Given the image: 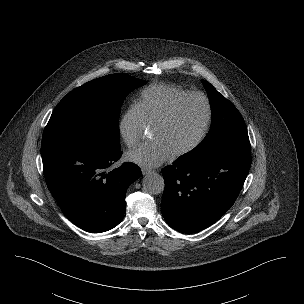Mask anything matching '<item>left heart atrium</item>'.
Returning a JSON list of instances; mask_svg holds the SVG:
<instances>
[{"mask_svg":"<svg viewBox=\"0 0 304 304\" xmlns=\"http://www.w3.org/2000/svg\"><path fill=\"white\" fill-rule=\"evenodd\" d=\"M173 153L160 141L141 144L127 152L126 159L134 164L146 168H153L170 160Z\"/></svg>","mask_w":304,"mask_h":304,"instance_id":"obj_1","label":"left heart atrium"}]
</instances>
